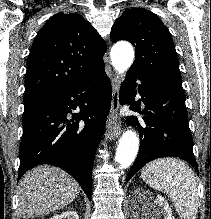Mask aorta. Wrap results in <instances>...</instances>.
Masks as SVG:
<instances>
[{"label": "aorta", "instance_id": "obj_1", "mask_svg": "<svg viewBox=\"0 0 211 219\" xmlns=\"http://www.w3.org/2000/svg\"><path fill=\"white\" fill-rule=\"evenodd\" d=\"M113 67L119 74L125 73L134 59V50L129 43H119L113 46L111 53ZM139 150V138L136 132L128 130L123 133L116 150L115 160L120 168H128L134 161Z\"/></svg>", "mask_w": 211, "mask_h": 219}]
</instances>
